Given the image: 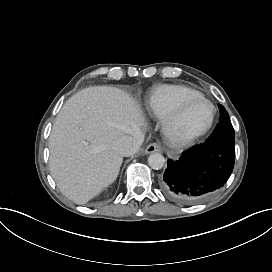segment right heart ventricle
I'll return each instance as SVG.
<instances>
[{"label":"right heart ventricle","instance_id":"obj_1","mask_svg":"<svg viewBox=\"0 0 272 272\" xmlns=\"http://www.w3.org/2000/svg\"><path fill=\"white\" fill-rule=\"evenodd\" d=\"M199 92L181 85H163L156 88L148 100L149 110L156 115H166L174 111L179 102Z\"/></svg>","mask_w":272,"mask_h":272}]
</instances>
